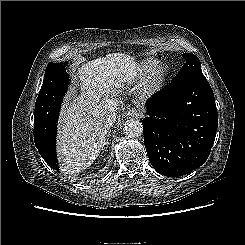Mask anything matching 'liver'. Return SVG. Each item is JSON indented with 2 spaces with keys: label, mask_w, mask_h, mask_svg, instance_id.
<instances>
[{
  "label": "liver",
  "mask_w": 245,
  "mask_h": 245,
  "mask_svg": "<svg viewBox=\"0 0 245 245\" xmlns=\"http://www.w3.org/2000/svg\"><path fill=\"white\" fill-rule=\"evenodd\" d=\"M136 62L130 55L111 53L77 67L80 93L66 98L59 124V157L67 173L89 167L106 144L107 126L95 109L103 95L116 96V89L133 75Z\"/></svg>",
  "instance_id": "obj_1"
}]
</instances>
